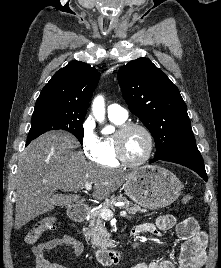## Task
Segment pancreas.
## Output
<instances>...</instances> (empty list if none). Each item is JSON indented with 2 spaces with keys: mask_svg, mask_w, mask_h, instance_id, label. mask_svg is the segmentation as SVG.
Listing matches in <instances>:
<instances>
[{
  "mask_svg": "<svg viewBox=\"0 0 221 268\" xmlns=\"http://www.w3.org/2000/svg\"><path fill=\"white\" fill-rule=\"evenodd\" d=\"M117 201H121L126 204L125 209L129 214L147 212L146 209H142L140 206L130 203L128 199L122 195H113L105 199L102 209L112 207ZM100 211L101 209H97L91 212L89 225L83 228V235L86 241L90 242L93 248L106 250L111 246V243L109 241V234L104 227L103 219L100 216Z\"/></svg>",
  "mask_w": 221,
  "mask_h": 268,
  "instance_id": "1",
  "label": "pancreas"
}]
</instances>
